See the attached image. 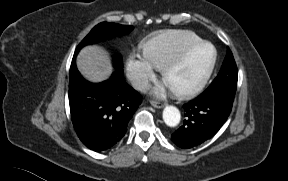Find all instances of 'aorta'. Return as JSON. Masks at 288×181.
Instances as JSON below:
<instances>
[{
	"mask_svg": "<svg viewBox=\"0 0 288 181\" xmlns=\"http://www.w3.org/2000/svg\"><path fill=\"white\" fill-rule=\"evenodd\" d=\"M163 120L169 127H175L180 123L181 114L175 106H166L163 110Z\"/></svg>",
	"mask_w": 288,
	"mask_h": 181,
	"instance_id": "aorta-1",
	"label": "aorta"
}]
</instances>
